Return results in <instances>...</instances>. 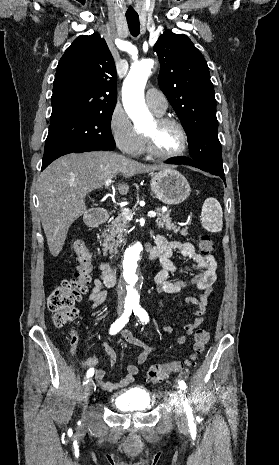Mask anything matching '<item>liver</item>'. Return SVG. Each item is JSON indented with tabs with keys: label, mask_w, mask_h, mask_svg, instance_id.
Returning a JSON list of instances; mask_svg holds the SVG:
<instances>
[{
	"label": "liver",
	"mask_w": 279,
	"mask_h": 465,
	"mask_svg": "<svg viewBox=\"0 0 279 465\" xmlns=\"http://www.w3.org/2000/svg\"><path fill=\"white\" fill-rule=\"evenodd\" d=\"M166 167L105 151L72 153L52 162L38 180V210L51 255L58 256L70 226L86 212L88 193L102 188L118 173L131 177ZM118 191L126 195L129 185L119 183Z\"/></svg>",
	"instance_id": "obj_1"
}]
</instances>
